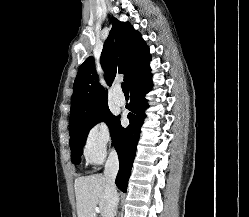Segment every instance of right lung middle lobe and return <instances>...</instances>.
Returning a JSON list of instances; mask_svg holds the SVG:
<instances>
[{
  "mask_svg": "<svg viewBox=\"0 0 249 217\" xmlns=\"http://www.w3.org/2000/svg\"><path fill=\"white\" fill-rule=\"evenodd\" d=\"M116 118L108 108L107 103L100 105L81 116L70 120V147L71 160L75 164L81 161L83 153L82 148L85 145L86 138L90 129L99 122L105 121L111 129L116 121Z\"/></svg>",
  "mask_w": 249,
  "mask_h": 217,
  "instance_id": "obj_1",
  "label": "right lung middle lobe"
}]
</instances>
